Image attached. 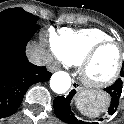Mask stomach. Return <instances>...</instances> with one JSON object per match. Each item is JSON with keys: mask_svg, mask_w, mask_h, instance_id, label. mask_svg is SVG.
<instances>
[{"mask_svg": "<svg viewBox=\"0 0 124 124\" xmlns=\"http://www.w3.org/2000/svg\"><path fill=\"white\" fill-rule=\"evenodd\" d=\"M82 94L89 96L92 100H99L102 97L103 99L102 101H105V96H103L101 93L95 94V93L83 91L80 93V95Z\"/></svg>", "mask_w": 124, "mask_h": 124, "instance_id": "0dacf381", "label": "stomach"}]
</instances>
